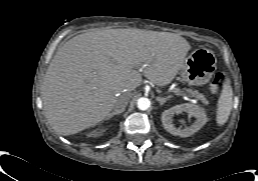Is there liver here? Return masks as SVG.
Segmentation results:
<instances>
[{
	"mask_svg": "<svg viewBox=\"0 0 258 181\" xmlns=\"http://www.w3.org/2000/svg\"><path fill=\"white\" fill-rule=\"evenodd\" d=\"M191 49L183 37L140 29H103L77 35L58 49L41 85L46 119L60 135L76 134L106 119L117 98L143 75L169 84Z\"/></svg>",
	"mask_w": 258,
	"mask_h": 181,
	"instance_id": "6515ba94",
	"label": "liver"
}]
</instances>
